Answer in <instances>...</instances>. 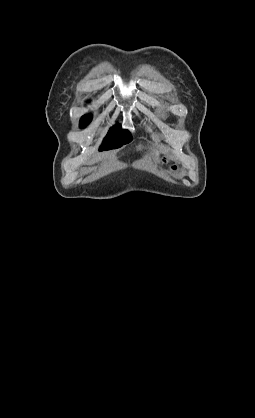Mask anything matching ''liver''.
Masks as SVG:
<instances>
[{"instance_id":"1","label":"liver","mask_w":255,"mask_h":418,"mask_svg":"<svg viewBox=\"0 0 255 418\" xmlns=\"http://www.w3.org/2000/svg\"><path fill=\"white\" fill-rule=\"evenodd\" d=\"M138 149H141V147L139 146ZM155 154H156L157 157L159 156V152L158 151H156Z\"/></svg>"}]
</instances>
